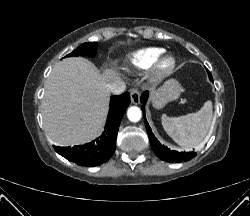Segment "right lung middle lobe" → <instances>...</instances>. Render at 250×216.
I'll use <instances>...</instances> for the list:
<instances>
[{"instance_id":"dd1d6c3e","label":"right lung middle lobe","mask_w":250,"mask_h":216,"mask_svg":"<svg viewBox=\"0 0 250 216\" xmlns=\"http://www.w3.org/2000/svg\"><path fill=\"white\" fill-rule=\"evenodd\" d=\"M96 47L97 43L96 42H89V43H84L77 47L76 50H74L72 53H70L68 56H78V55H89L93 56L96 53Z\"/></svg>"}]
</instances>
